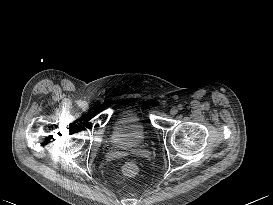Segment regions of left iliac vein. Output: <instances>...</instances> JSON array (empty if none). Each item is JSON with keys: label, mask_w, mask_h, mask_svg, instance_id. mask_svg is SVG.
I'll list each match as a JSON object with an SVG mask.
<instances>
[{"label": "left iliac vein", "mask_w": 273, "mask_h": 205, "mask_svg": "<svg viewBox=\"0 0 273 205\" xmlns=\"http://www.w3.org/2000/svg\"><path fill=\"white\" fill-rule=\"evenodd\" d=\"M178 113V109L176 108V107H173V108H171V110H170V114L171 115H176Z\"/></svg>", "instance_id": "4c4485c4"}]
</instances>
